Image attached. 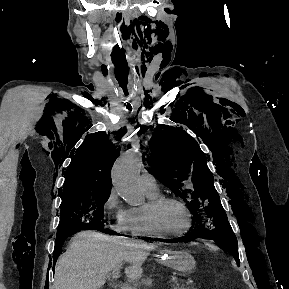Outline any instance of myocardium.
<instances>
[{
  "instance_id": "f54148a6",
  "label": "myocardium",
  "mask_w": 289,
  "mask_h": 289,
  "mask_svg": "<svg viewBox=\"0 0 289 289\" xmlns=\"http://www.w3.org/2000/svg\"><path fill=\"white\" fill-rule=\"evenodd\" d=\"M173 202L178 204L180 207L184 209V211L187 214L188 217V224L186 227L179 231V232H169L160 227L157 221V212L158 209L165 203ZM142 213L146 220V223L149 227V229L155 233L158 236L161 237H178L186 234L190 228L192 227L193 219H192V212L190 208L187 206V204L181 200L180 198H177L175 196L171 195H158L154 198L148 199L147 203L142 207Z\"/></svg>"
}]
</instances>
